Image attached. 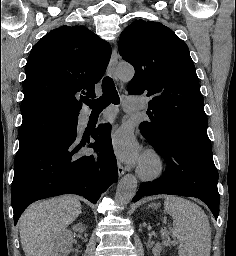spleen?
I'll return each instance as SVG.
<instances>
[{
  "mask_svg": "<svg viewBox=\"0 0 236 256\" xmlns=\"http://www.w3.org/2000/svg\"><path fill=\"white\" fill-rule=\"evenodd\" d=\"M164 208L173 218L179 256H210L211 228L205 212L193 202L173 196H167Z\"/></svg>",
  "mask_w": 236,
  "mask_h": 256,
  "instance_id": "1",
  "label": "spleen"
}]
</instances>
